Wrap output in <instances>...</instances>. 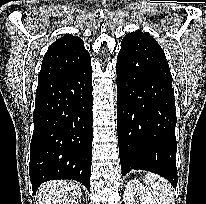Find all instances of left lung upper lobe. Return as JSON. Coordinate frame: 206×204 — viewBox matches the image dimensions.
<instances>
[{
	"label": "left lung upper lobe",
	"instance_id": "1",
	"mask_svg": "<svg viewBox=\"0 0 206 204\" xmlns=\"http://www.w3.org/2000/svg\"><path fill=\"white\" fill-rule=\"evenodd\" d=\"M119 57L132 70L141 67V61H154L169 68L166 56L157 41L147 32L137 30L127 34L121 42Z\"/></svg>",
	"mask_w": 206,
	"mask_h": 204
}]
</instances>
